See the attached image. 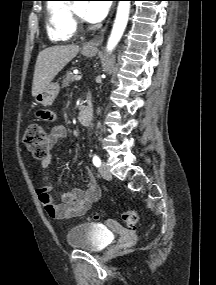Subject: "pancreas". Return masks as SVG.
Here are the masks:
<instances>
[{"label": "pancreas", "instance_id": "cf45deb5", "mask_svg": "<svg viewBox=\"0 0 216 285\" xmlns=\"http://www.w3.org/2000/svg\"><path fill=\"white\" fill-rule=\"evenodd\" d=\"M74 80H75V75L71 71H67L66 75L64 76L62 86L63 87L69 86V84L74 82Z\"/></svg>", "mask_w": 216, "mask_h": 285}]
</instances>
